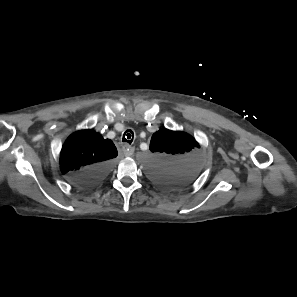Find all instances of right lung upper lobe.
<instances>
[{
    "label": "right lung upper lobe",
    "instance_id": "right-lung-upper-lobe-1",
    "mask_svg": "<svg viewBox=\"0 0 297 297\" xmlns=\"http://www.w3.org/2000/svg\"><path fill=\"white\" fill-rule=\"evenodd\" d=\"M116 156L111 140L93 130H81L71 135L61 150V171L70 176L93 165L111 163Z\"/></svg>",
    "mask_w": 297,
    "mask_h": 297
}]
</instances>
